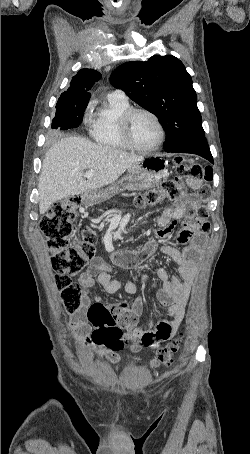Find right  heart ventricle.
<instances>
[{"instance_id":"e07e8e85","label":"right heart ventricle","mask_w":250,"mask_h":454,"mask_svg":"<svg viewBox=\"0 0 250 454\" xmlns=\"http://www.w3.org/2000/svg\"><path fill=\"white\" fill-rule=\"evenodd\" d=\"M130 108L128 101L108 96L104 106L90 116L89 132L95 142L113 149H127L120 135L119 117Z\"/></svg>"}]
</instances>
